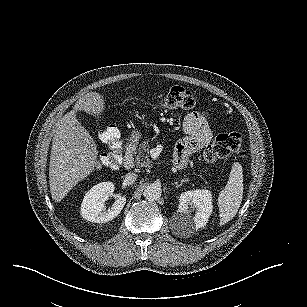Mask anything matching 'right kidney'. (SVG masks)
<instances>
[{"instance_id":"right-kidney-1","label":"right kidney","mask_w":307,"mask_h":307,"mask_svg":"<svg viewBox=\"0 0 307 307\" xmlns=\"http://www.w3.org/2000/svg\"><path fill=\"white\" fill-rule=\"evenodd\" d=\"M115 186L112 182H101L94 185L84 196L80 215L93 223H106L117 217L126 204V198L118 195L113 205L106 209L105 201L113 196Z\"/></svg>"}]
</instances>
